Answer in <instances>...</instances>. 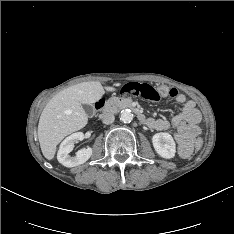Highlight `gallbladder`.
<instances>
[{
    "mask_svg": "<svg viewBox=\"0 0 234 234\" xmlns=\"http://www.w3.org/2000/svg\"><path fill=\"white\" fill-rule=\"evenodd\" d=\"M83 108L87 115H92L94 113V109L91 105H83Z\"/></svg>",
    "mask_w": 234,
    "mask_h": 234,
    "instance_id": "obj_1",
    "label": "gallbladder"
}]
</instances>
